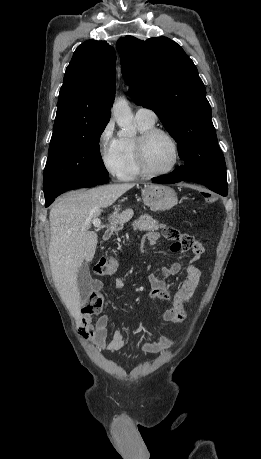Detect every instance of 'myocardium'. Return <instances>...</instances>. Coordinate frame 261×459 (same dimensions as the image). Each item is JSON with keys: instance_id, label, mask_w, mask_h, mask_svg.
<instances>
[{"instance_id": "obj_1", "label": "myocardium", "mask_w": 261, "mask_h": 459, "mask_svg": "<svg viewBox=\"0 0 261 459\" xmlns=\"http://www.w3.org/2000/svg\"><path fill=\"white\" fill-rule=\"evenodd\" d=\"M164 135L166 136L173 145L174 150V159L171 166L164 170V171H153L148 167L147 160H146V149L149 141L156 135ZM135 151H136V161L140 172L143 175L150 176V177H160L165 176L172 173L175 168L177 167L179 160H180V147L179 142L176 137L166 129L159 128V127H152L140 133V135L136 138L135 143Z\"/></svg>"}]
</instances>
